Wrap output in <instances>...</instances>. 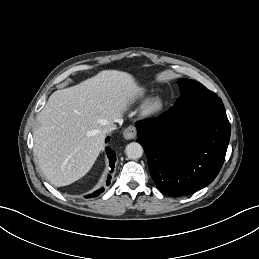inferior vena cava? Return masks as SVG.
Here are the masks:
<instances>
[{"label":"inferior vena cava","instance_id":"obj_1","mask_svg":"<svg viewBox=\"0 0 259 259\" xmlns=\"http://www.w3.org/2000/svg\"><path fill=\"white\" fill-rule=\"evenodd\" d=\"M116 129V126L114 124L107 125L103 128V133H109Z\"/></svg>","mask_w":259,"mask_h":259}]
</instances>
